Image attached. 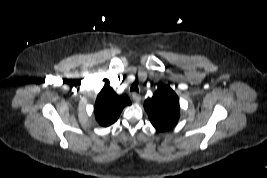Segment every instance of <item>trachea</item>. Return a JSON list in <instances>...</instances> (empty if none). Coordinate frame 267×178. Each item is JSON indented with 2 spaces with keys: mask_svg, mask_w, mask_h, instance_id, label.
Masks as SVG:
<instances>
[{
  "mask_svg": "<svg viewBox=\"0 0 267 178\" xmlns=\"http://www.w3.org/2000/svg\"><path fill=\"white\" fill-rule=\"evenodd\" d=\"M130 91H135V92H138L139 91V88H138V85L136 83H133L130 87Z\"/></svg>",
  "mask_w": 267,
  "mask_h": 178,
  "instance_id": "3493384b",
  "label": "trachea"
}]
</instances>
